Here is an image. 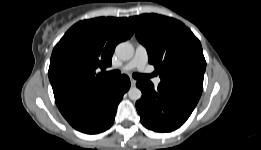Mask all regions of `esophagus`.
<instances>
[{"instance_id":"esophagus-1","label":"esophagus","mask_w":261,"mask_h":150,"mask_svg":"<svg viewBox=\"0 0 261 150\" xmlns=\"http://www.w3.org/2000/svg\"><path fill=\"white\" fill-rule=\"evenodd\" d=\"M131 86L134 87L136 85V80L135 79H131Z\"/></svg>"}]
</instances>
